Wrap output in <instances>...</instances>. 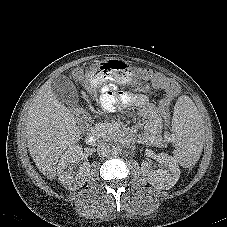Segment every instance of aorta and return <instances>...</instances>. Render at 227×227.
Here are the masks:
<instances>
[{"mask_svg": "<svg viewBox=\"0 0 227 227\" xmlns=\"http://www.w3.org/2000/svg\"><path fill=\"white\" fill-rule=\"evenodd\" d=\"M121 151H122V149L119 145L112 146L111 152L113 155H119L121 153Z\"/></svg>", "mask_w": 227, "mask_h": 227, "instance_id": "762f6f07", "label": "aorta"}]
</instances>
